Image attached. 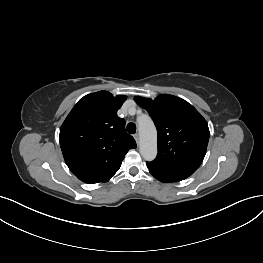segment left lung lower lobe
<instances>
[{
    "label": "left lung lower lobe",
    "mask_w": 263,
    "mask_h": 263,
    "mask_svg": "<svg viewBox=\"0 0 263 263\" xmlns=\"http://www.w3.org/2000/svg\"><path fill=\"white\" fill-rule=\"evenodd\" d=\"M151 173V172H150ZM157 180L161 181V182H176V181H172V180H169V179H166V178H163L161 176H158L154 173H151Z\"/></svg>",
    "instance_id": "left-lung-lower-lobe-1"
}]
</instances>
